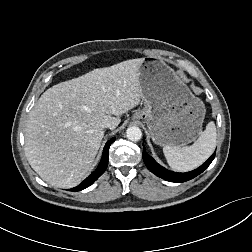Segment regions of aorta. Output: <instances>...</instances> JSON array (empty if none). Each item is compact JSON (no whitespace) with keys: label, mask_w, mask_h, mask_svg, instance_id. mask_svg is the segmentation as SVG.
I'll return each mask as SVG.
<instances>
[{"label":"aorta","mask_w":252,"mask_h":252,"mask_svg":"<svg viewBox=\"0 0 252 252\" xmlns=\"http://www.w3.org/2000/svg\"><path fill=\"white\" fill-rule=\"evenodd\" d=\"M126 136L130 141H139L142 138V131L137 126H131L126 130Z\"/></svg>","instance_id":"1"}]
</instances>
